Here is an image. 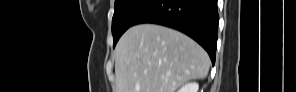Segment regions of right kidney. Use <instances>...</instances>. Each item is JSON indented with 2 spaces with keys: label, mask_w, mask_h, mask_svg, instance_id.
<instances>
[{
  "label": "right kidney",
  "mask_w": 296,
  "mask_h": 92,
  "mask_svg": "<svg viewBox=\"0 0 296 92\" xmlns=\"http://www.w3.org/2000/svg\"><path fill=\"white\" fill-rule=\"evenodd\" d=\"M199 84L196 82L186 83L178 92H198Z\"/></svg>",
  "instance_id": "right-kidney-1"
}]
</instances>
